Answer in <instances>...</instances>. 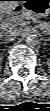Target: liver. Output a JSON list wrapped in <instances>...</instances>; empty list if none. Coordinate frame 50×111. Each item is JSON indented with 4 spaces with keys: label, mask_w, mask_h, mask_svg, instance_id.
<instances>
[{
    "label": "liver",
    "mask_w": 50,
    "mask_h": 111,
    "mask_svg": "<svg viewBox=\"0 0 50 111\" xmlns=\"http://www.w3.org/2000/svg\"><path fill=\"white\" fill-rule=\"evenodd\" d=\"M19 1L11 0V1H1L0 2V12L1 14H7L14 10L18 5Z\"/></svg>",
    "instance_id": "liver-1"
}]
</instances>
